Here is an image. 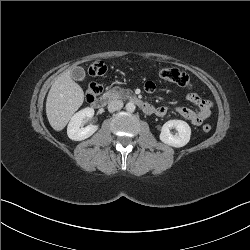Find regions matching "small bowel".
<instances>
[{
    "label": "small bowel",
    "mask_w": 250,
    "mask_h": 250,
    "mask_svg": "<svg viewBox=\"0 0 250 250\" xmlns=\"http://www.w3.org/2000/svg\"><path fill=\"white\" fill-rule=\"evenodd\" d=\"M145 90L148 93H152L155 90V85L153 82H147L145 84ZM186 100L195 104L197 110H192L183 106H167L163 105L156 108V115L163 117L168 111L172 110L187 119L194 125L202 124L211 114L212 103L208 100L202 99L197 93L190 92L186 95Z\"/></svg>",
    "instance_id": "c3829d8e"
}]
</instances>
